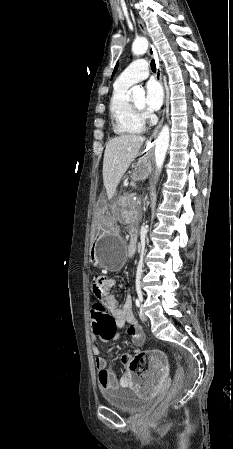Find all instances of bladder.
Masks as SVG:
<instances>
[{"label":"bladder","mask_w":233,"mask_h":449,"mask_svg":"<svg viewBox=\"0 0 233 449\" xmlns=\"http://www.w3.org/2000/svg\"><path fill=\"white\" fill-rule=\"evenodd\" d=\"M102 395L109 405L126 412L147 409L152 405L151 399H141L136 395L135 390L120 388L117 385L102 389Z\"/></svg>","instance_id":"bladder-1"}]
</instances>
